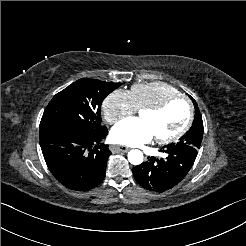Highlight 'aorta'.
<instances>
[{"instance_id": "1", "label": "aorta", "mask_w": 246, "mask_h": 246, "mask_svg": "<svg viewBox=\"0 0 246 246\" xmlns=\"http://www.w3.org/2000/svg\"><path fill=\"white\" fill-rule=\"evenodd\" d=\"M143 153L138 149H133L128 153V160L133 165H140L143 162Z\"/></svg>"}]
</instances>
